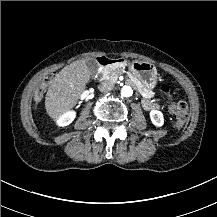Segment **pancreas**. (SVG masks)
I'll list each match as a JSON object with an SVG mask.
<instances>
[{
  "mask_svg": "<svg viewBox=\"0 0 217 217\" xmlns=\"http://www.w3.org/2000/svg\"><path fill=\"white\" fill-rule=\"evenodd\" d=\"M123 72H124L123 69L115 68L112 70H103L102 74H103V78L110 80L112 83H116L118 76L121 75ZM128 76L131 79V81L134 82L135 84L139 83L138 80L132 74H128ZM141 86L143 85L140 84L138 85L139 90H141V94L144 97H148L149 99H152L155 96V93L151 89H147L144 86L143 87Z\"/></svg>",
  "mask_w": 217,
  "mask_h": 217,
  "instance_id": "obj_1",
  "label": "pancreas"
}]
</instances>
